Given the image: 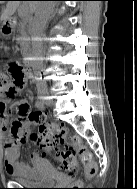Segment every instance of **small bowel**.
<instances>
[{
    "instance_id": "small-bowel-1",
    "label": "small bowel",
    "mask_w": 137,
    "mask_h": 189,
    "mask_svg": "<svg viewBox=\"0 0 137 189\" xmlns=\"http://www.w3.org/2000/svg\"><path fill=\"white\" fill-rule=\"evenodd\" d=\"M22 85V84H21ZM20 85V86H21ZM6 99L0 97V140L4 145V167L9 175L18 172L20 175H26L29 172V165L23 162H18V147L22 142V138H14L11 134L9 126V118L4 114ZM29 106L26 101H21L15 105L14 110L17 112L15 120H21L25 129H29L30 122L25 115L21 114L20 108ZM31 160H38L36 153H31Z\"/></svg>"
}]
</instances>
